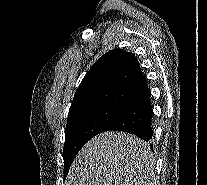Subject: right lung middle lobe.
I'll list each match as a JSON object with an SVG mask.
<instances>
[{"mask_svg":"<svg viewBox=\"0 0 207 185\" xmlns=\"http://www.w3.org/2000/svg\"><path fill=\"white\" fill-rule=\"evenodd\" d=\"M121 112L118 108L100 106L68 116L63 149L65 177L82 146L95 135L104 132Z\"/></svg>","mask_w":207,"mask_h":185,"instance_id":"1","label":"right lung middle lobe"}]
</instances>
